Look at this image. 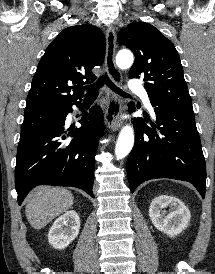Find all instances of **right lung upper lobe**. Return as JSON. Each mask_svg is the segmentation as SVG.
<instances>
[{
	"label": "right lung upper lobe",
	"mask_w": 215,
	"mask_h": 274,
	"mask_svg": "<svg viewBox=\"0 0 215 274\" xmlns=\"http://www.w3.org/2000/svg\"><path fill=\"white\" fill-rule=\"evenodd\" d=\"M105 47L102 31L91 24L64 29L38 64L25 111L64 109L76 103L83 97L82 85L96 79L92 69L102 65Z\"/></svg>",
	"instance_id": "right-lung-upper-lobe-1"
}]
</instances>
